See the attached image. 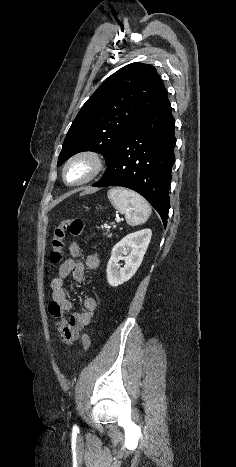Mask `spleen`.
I'll use <instances>...</instances> for the list:
<instances>
[{
    "label": "spleen",
    "instance_id": "1",
    "mask_svg": "<svg viewBox=\"0 0 236 467\" xmlns=\"http://www.w3.org/2000/svg\"><path fill=\"white\" fill-rule=\"evenodd\" d=\"M108 198L112 205L125 215L127 224L138 226L147 221L151 215V208L147 201L139 194L125 188H111Z\"/></svg>",
    "mask_w": 236,
    "mask_h": 467
}]
</instances>
